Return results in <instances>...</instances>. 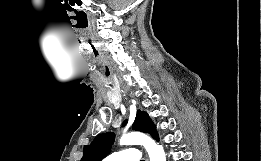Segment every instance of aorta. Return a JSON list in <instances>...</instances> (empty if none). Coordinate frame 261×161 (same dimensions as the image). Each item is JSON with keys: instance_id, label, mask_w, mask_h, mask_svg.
<instances>
[{"instance_id": "1", "label": "aorta", "mask_w": 261, "mask_h": 161, "mask_svg": "<svg viewBox=\"0 0 261 161\" xmlns=\"http://www.w3.org/2000/svg\"><path fill=\"white\" fill-rule=\"evenodd\" d=\"M121 145H143L148 152L150 161H166V156L162 145L156 142L149 136L139 133L131 132L124 134L120 138Z\"/></svg>"}]
</instances>
